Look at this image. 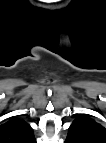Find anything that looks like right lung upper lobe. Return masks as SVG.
<instances>
[{"label": "right lung upper lobe", "mask_w": 106, "mask_h": 143, "mask_svg": "<svg viewBox=\"0 0 106 143\" xmlns=\"http://www.w3.org/2000/svg\"><path fill=\"white\" fill-rule=\"evenodd\" d=\"M32 139L33 129L22 119L11 118L0 125V143H29Z\"/></svg>", "instance_id": "obj_1"}]
</instances>
